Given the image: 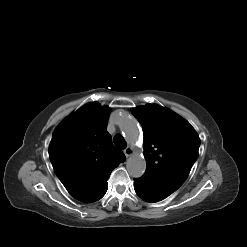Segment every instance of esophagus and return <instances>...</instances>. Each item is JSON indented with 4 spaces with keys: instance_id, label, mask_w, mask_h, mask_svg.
I'll list each match as a JSON object with an SVG mask.
<instances>
[{
    "instance_id": "esophagus-1",
    "label": "esophagus",
    "mask_w": 247,
    "mask_h": 247,
    "mask_svg": "<svg viewBox=\"0 0 247 247\" xmlns=\"http://www.w3.org/2000/svg\"><path fill=\"white\" fill-rule=\"evenodd\" d=\"M134 153V150L132 147H127L124 149V154L126 157L131 156Z\"/></svg>"
}]
</instances>
